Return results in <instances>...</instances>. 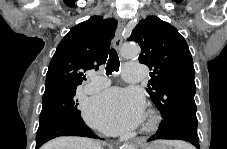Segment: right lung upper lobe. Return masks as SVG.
I'll list each match as a JSON object with an SVG mask.
<instances>
[{"mask_svg": "<svg viewBox=\"0 0 227 149\" xmlns=\"http://www.w3.org/2000/svg\"><path fill=\"white\" fill-rule=\"evenodd\" d=\"M117 28L115 19L92 16L74 26L61 40L49 64L45 89L80 85L87 70H97L107 59L110 40Z\"/></svg>", "mask_w": 227, "mask_h": 149, "instance_id": "1", "label": "right lung upper lobe"}]
</instances>
